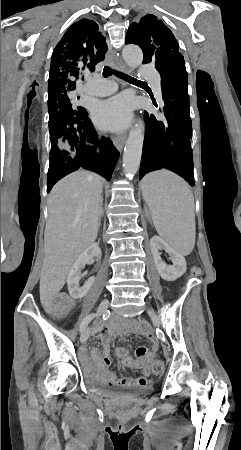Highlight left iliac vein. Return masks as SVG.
<instances>
[{
    "label": "left iliac vein",
    "instance_id": "4c4485c4",
    "mask_svg": "<svg viewBox=\"0 0 241 450\" xmlns=\"http://www.w3.org/2000/svg\"><path fill=\"white\" fill-rule=\"evenodd\" d=\"M148 313H149V315L152 317V319H153L155 322H157L158 324L160 323V321H159V319H158V317H157V315H156V313H155L154 310L149 309Z\"/></svg>",
    "mask_w": 241,
    "mask_h": 450
}]
</instances>
